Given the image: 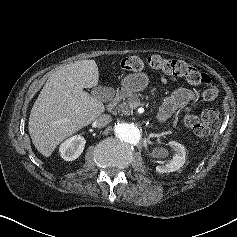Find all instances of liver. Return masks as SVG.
Listing matches in <instances>:
<instances>
[{"label":"liver","instance_id":"obj_1","mask_svg":"<svg viewBox=\"0 0 237 237\" xmlns=\"http://www.w3.org/2000/svg\"><path fill=\"white\" fill-rule=\"evenodd\" d=\"M95 60L67 64L45 83L29 116L28 131L35 148L49 157L61 141L91 124L104 111L98 97L84 88L98 85Z\"/></svg>","mask_w":237,"mask_h":237}]
</instances>
